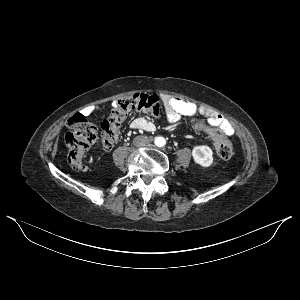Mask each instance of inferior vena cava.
Here are the masks:
<instances>
[{"instance_id":"inferior-vena-cava-1","label":"inferior vena cava","mask_w":300,"mask_h":300,"mask_svg":"<svg viewBox=\"0 0 300 300\" xmlns=\"http://www.w3.org/2000/svg\"><path fill=\"white\" fill-rule=\"evenodd\" d=\"M150 143V140L147 136H137L133 140V144L136 147H145L148 146Z\"/></svg>"}]
</instances>
